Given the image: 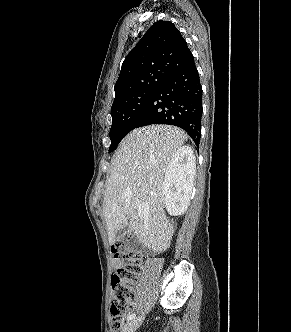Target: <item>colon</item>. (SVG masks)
<instances>
[{
    "label": "colon",
    "instance_id": "obj_1",
    "mask_svg": "<svg viewBox=\"0 0 291 332\" xmlns=\"http://www.w3.org/2000/svg\"><path fill=\"white\" fill-rule=\"evenodd\" d=\"M112 251L123 263L111 277L112 299L110 315L114 332L123 325V319L130 311L135 299V286L143 263V256L138 251L126 247L124 242H117Z\"/></svg>",
    "mask_w": 291,
    "mask_h": 332
}]
</instances>
